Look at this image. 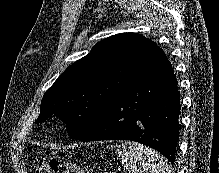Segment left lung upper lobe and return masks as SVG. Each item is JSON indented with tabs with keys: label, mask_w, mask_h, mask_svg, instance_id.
Listing matches in <instances>:
<instances>
[{
	"label": "left lung upper lobe",
	"mask_w": 219,
	"mask_h": 173,
	"mask_svg": "<svg viewBox=\"0 0 219 173\" xmlns=\"http://www.w3.org/2000/svg\"><path fill=\"white\" fill-rule=\"evenodd\" d=\"M158 48L135 33H121L98 42L44 94L35 123L55 115L66 123L71 138H80L138 80L143 65Z\"/></svg>",
	"instance_id": "obj_1"
}]
</instances>
